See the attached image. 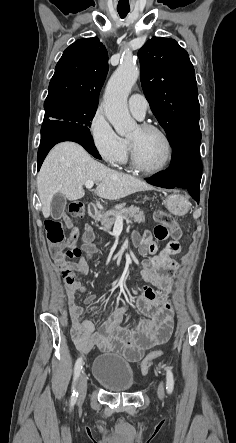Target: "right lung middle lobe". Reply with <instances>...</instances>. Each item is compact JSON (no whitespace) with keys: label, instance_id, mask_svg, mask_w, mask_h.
<instances>
[{"label":"right lung middle lobe","instance_id":"right-lung-middle-lobe-1","mask_svg":"<svg viewBox=\"0 0 236 443\" xmlns=\"http://www.w3.org/2000/svg\"><path fill=\"white\" fill-rule=\"evenodd\" d=\"M43 123L53 120L64 121L77 131L90 134L89 127L95 115L97 105H90L71 99H57L44 103Z\"/></svg>","mask_w":236,"mask_h":443}]
</instances>
